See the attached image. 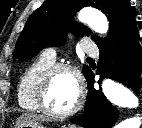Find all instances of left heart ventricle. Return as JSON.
I'll return each instance as SVG.
<instances>
[{"mask_svg":"<svg viewBox=\"0 0 142 128\" xmlns=\"http://www.w3.org/2000/svg\"><path fill=\"white\" fill-rule=\"evenodd\" d=\"M77 99V85L73 75L62 71L57 73L49 86L48 106L55 111H66Z\"/></svg>","mask_w":142,"mask_h":128,"instance_id":"1","label":"left heart ventricle"}]
</instances>
